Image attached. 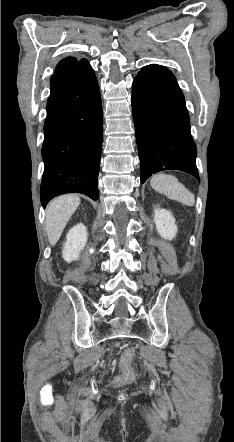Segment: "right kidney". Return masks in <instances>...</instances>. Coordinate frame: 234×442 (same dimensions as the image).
I'll use <instances>...</instances> for the list:
<instances>
[{"mask_svg": "<svg viewBox=\"0 0 234 442\" xmlns=\"http://www.w3.org/2000/svg\"><path fill=\"white\" fill-rule=\"evenodd\" d=\"M87 239V229L82 223L71 228L66 235V242L63 246V259L67 262L77 260L81 250H83L87 243Z\"/></svg>", "mask_w": 234, "mask_h": 442, "instance_id": "obj_1", "label": "right kidney"}]
</instances>
